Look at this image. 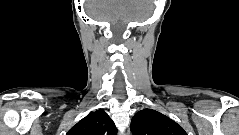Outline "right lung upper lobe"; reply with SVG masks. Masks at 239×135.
<instances>
[{
	"instance_id": "1",
	"label": "right lung upper lobe",
	"mask_w": 239,
	"mask_h": 135,
	"mask_svg": "<svg viewBox=\"0 0 239 135\" xmlns=\"http://www.w3.org/2000/svg\"><path fill=\"white\" fill-rule=\"evenodd\" d=\"M114 122L104 110H96L81 119L66 135H116Z\"/></svg>"
}]
</instances>
